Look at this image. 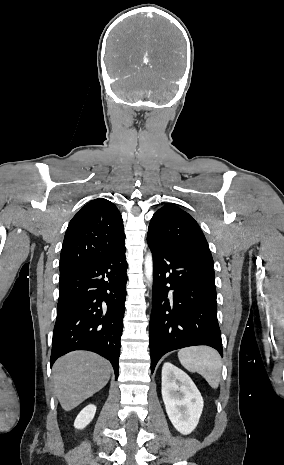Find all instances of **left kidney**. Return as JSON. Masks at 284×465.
I'll use <instances>...</instances> for the list:
<instances>
[{
  "label": "left kidney",
  "instance_id": "left-kidney-1",
  "mask_svg": "<svg viewBox=\"0 0 284 465\" xmlns=\"http://www.w3.org/2000/svg\"><path fill=\"white\" fill-rule=\"evenodd\" d=\"M162 399L173 427L190 435L199 423L204 401L192 379L171 363L162 367Z\"/></svg>",
  "mask_w": 284,
  "mask_h": 465
}]
</instances>
